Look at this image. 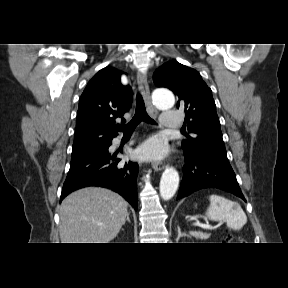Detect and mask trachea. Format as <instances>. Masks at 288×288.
I'll return each mask as SVG.
<instances>
[{
  "label": "trachea",
  "instance_id": "trachea-1",
  "mask_svg": "<svg viewBox=\"0 0 288 288\" xmlns=\"http://www.w3.org/2000/svg\"><path fill=\"white\" fill-rule=\"evenodd\" d=\"M142 121L149 123V124H155V121L152 118H150V116L146 112V108H145V104L142 99V96L138 94L136 98L135 115L133 116L131 121L127 123L126 125H117V126L123 132H129V131H133L136 128V126Z\"/></svg>",
  "mask_w": 288,
  "mask_h": 288
}]
</instances>
